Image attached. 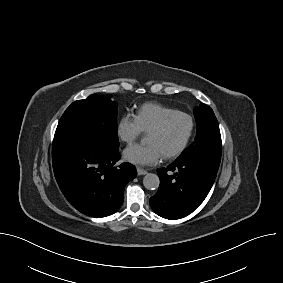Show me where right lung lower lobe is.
Here are the masks:
<instances>
[{
    "label": "right lung lower lobe",
    "mask_w": 283,
    "mask_h": 283,
    "mask_svg": "<svg viewBox=\"0 0 283 283\" xmlns=\"http://www.w3.org/2000/svg\"><path fill=\"white\" fill-rule=\"evenodd\" d=\"M118 147L86 136L54 138L52 163L56 181L69 203L91 217L115 213L124 201V186L136 175L130 163L118 164Z\"/></svg>",
    "instance_id": "right-lung-lower-lobe-1"
}]
</instances>
